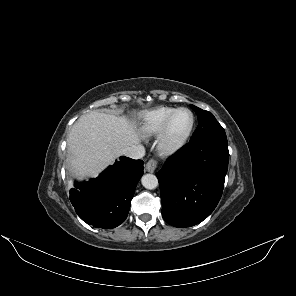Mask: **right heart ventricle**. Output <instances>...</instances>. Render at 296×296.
<instances>
[{
  "label": "right heart ventricle",
  "instance_id": "right-heart-ventricle-1",
  "mask_svg": "<svg viewBox=\"0 0 296 296\" xmlns=\"http://www.w3.org/2000/svg\"><path fill=\"white\" fill-rule=\"evenodd\" d=\"M176 109L173 107L161 106L146 111L143 114L139 125V134L143 138H153L160 134L168 118Z\"/></svg>",
  "mask_w": 296,
  "mask_h": 296
}]
</instances>
